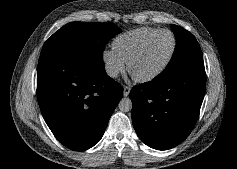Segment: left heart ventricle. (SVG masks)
<instances>
[{
    "label": "left heart ventricle",
    "instance_id": "left-heart-ventricle-1",
    "mask_svg": "<svg viewBox=\"0 0 237 169\" xmlns=\"http://www.w3.org/2000/svg\"><path fill=\"white\" fill-rule=\"evenodd\" d=\"M172 48V38L168 33L158 35L133 63L132 72L136 76H145L157 68L168 57Z\"/></svg>",
    "mask_w": 237,
    "mask_h": 169
}]
</instances>
